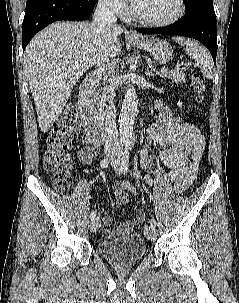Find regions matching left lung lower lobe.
Masks as SVG:
<instances>
[{
	"label": "left lung lower lobe",
	"mask_w": 239,
	"mask_h": 303,
	"mask_svg": "<svg viewBox=\"0 0 239 303\" xmlns=\"http://www.w3.org/2000/svg\"><path fill=\"white\" fill-rule=\"evenodd\" d=\"M144 34H169L192 37L210 51L214 62L217 54L216 16L213 5H201L189 12L176 24L162 28H137Z\"/></svg>",
	"instance_id": "0a47b994"
}]
</instances>
